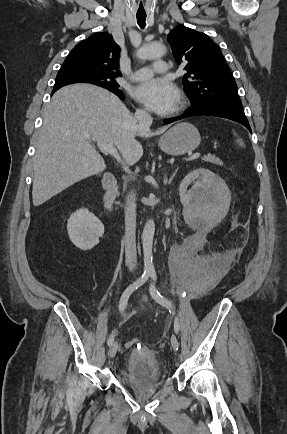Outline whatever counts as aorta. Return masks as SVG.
I'll use <instances>...</instances> for the list:
<instances>
[{"instance_id": "aorta-1", "label": "aorta", "mask_w": 287, "mask_h": 434, "mask_svg": "<svg viewBox=\"0 0 287 434\" xmlns=\"http://www.w3.org/2000/svg\"><path fill=\"white\" fill-rule=\"evenodd\" d=\"M166 52V48L161 43H152L141 47L137 51V56L142 60H150L162 57ZM155 232V223L153 220H148L144 226L142 233V246L144 256V273L151 274L155 271L153 264L152 246Z\"/></svg>"}]
</instances>
